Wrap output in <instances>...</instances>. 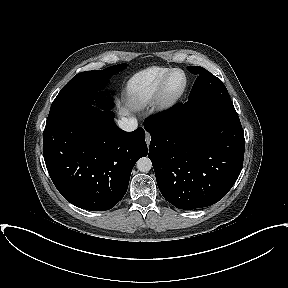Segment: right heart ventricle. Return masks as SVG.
<instances>
[{"label": "right heart ventricle", "instance_id": "obj_1", "mask_svg": "<svg viewBox=\"0 0 288 288\" xmlns=\"http://www.w3.org/2000/svg\"><path fill=\"white\" fill-rule=\"evenodd\" d=\"M171 70L166 67H150L135 74L127 85V97L130 105L136 109L147 106Z\"/></svg>", "mask_w": 288, "mask_h": 288}]
</instances>
